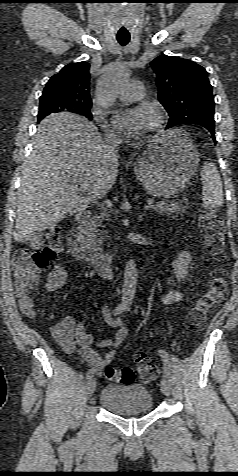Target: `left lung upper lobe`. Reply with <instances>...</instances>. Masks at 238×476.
<instances>
[{
	"instance_id": "1",
	"label": "left lung upper lobe",
	"mask_w": 238,
	"mask_h": 476,
	"mask_svg": "<svg viewBox=\"0 0 238 476\" xmlns=\"http://www.w3.org/2000/svg\"><path fill=\"white\" fill-rule=\"evenodd\" d=\"M157 75L158 98L170 119L166 128L179 124L214 122V97L206 70L197 63L161 55L151 62Z\"/></svg>"
}]
</instances>
